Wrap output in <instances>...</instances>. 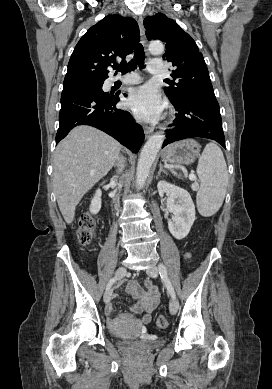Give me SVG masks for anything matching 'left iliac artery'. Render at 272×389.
Here are the masks:
<instances>
[{
  "instance_id": "left-iliac-artery-1",
  "label": "left iliac artery",
  "mask_w": 272,
  "mask_h": 389,
  "mask_svg": "<svg viewBox=\"0 0 272 389\" xmlns=\"http://www.w3.org/2000/svg\"><path fill=\"white\" fill-rule=\"evenodd\" d=\"M158 267H159V274L161 276V279L164 281L168 292L171 294L172 297H175L174 288L168 278L166 267L163 264H159Z\"/></svg>"
}]
</instances>
